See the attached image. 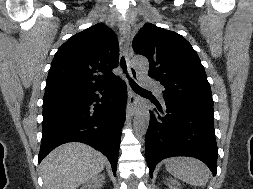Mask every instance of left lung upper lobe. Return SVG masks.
I'll return each instance as SVG.
<instances>
[{"instance_id": "1", "label": "left lung upper lobe", "mask_w": 253, "mask_h": 189, "mask_svg": "<svg viewBox=\"0 0 253 189\" xmlns=\"http://www.w3.org/2000/svg\"><path fill=\"white\" fill-rule=\"evenodd\" d=\"M133 49L148 58L149 76L165 88L163 97L213 109L210 85L191 44L174 31L145 24L133 39Z\"/></svg>"}]
</instances>
